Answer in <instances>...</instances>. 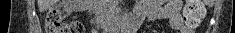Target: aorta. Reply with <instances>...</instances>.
<instances>
[{"label":"aorta","mask_w":235,"mask_h":33,"mask_svg":"<svg viewBox=\"0 0 235 33\" xmlns=\"http://www.w3.org/2000/svg\"><path fill=\"white\" fill-rule=\"evenodd\" d=\"M128 20H129V14H128V12L126 11V12L124 13V16H123V23H124V26H125V27L127 26Z\"/></svg>","instance_id":"obj_1"}]
</instances>
